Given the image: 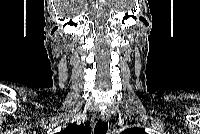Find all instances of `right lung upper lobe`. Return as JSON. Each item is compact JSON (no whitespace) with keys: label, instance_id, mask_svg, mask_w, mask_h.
<instances>
[{"label":"right lung upper lobe","instance_id":"obj_1","mask_svg":"<svg viewBox=\"0 0 200 134\" xmlns=\"http://www.w3.org/2000/svg\"><path fill=\"white\" fill-rule=\"evenodd\" d=\"M89 133H90V129H89L88 124L86 125L71 124L60 132V134H89Z\"/></svg>","mask_w":200,"mask_h":134}]
</instances>
